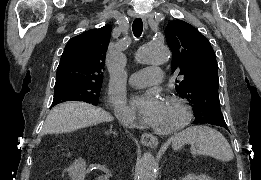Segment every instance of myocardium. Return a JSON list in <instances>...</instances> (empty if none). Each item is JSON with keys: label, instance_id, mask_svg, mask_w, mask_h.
Wrapping results in <instances>:
<instances>
[{"label": "myocardium", "instance_id": "f54148a6", "mask_svg": "<svg viewBox=\"0 0 261 180\" xmlns=\"http://www.w3.org/2000/svg\"><path fill=\"white\" fill-rule=\"evenodd\" d=\"M166 99L177 104L181 112L176 124L169 130H157L150 125L148 126V131L160 139H172L179 136L185 130L191 116L189 104L183 97L175 93H169Z\"/></svg>", "mask_w": 261, "mask_h": 180}]
</instances>
